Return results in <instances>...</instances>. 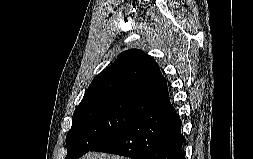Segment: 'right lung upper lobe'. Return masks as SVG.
I'll list each match as a JSON object with an SVG mask.
<instances>
[{
    "label": "right lung upper lobe",
    "instance_id": "cb5924a9",
    "mask_svg": "<svg viewBox=\"0 0 253 159\" xmlns=\"http://www.w3.org/2000/svg\"><path fill=\"white\" fill-rule=\"evenodd\" d=\"M117 95L140 98L157 106L169 100L166 79L158 64L138 49L122 52L116 62L94 78L82 100Z\"/></svg>",
    "mask_w": 253,
    "mask_h": 159
}]
</instances>
